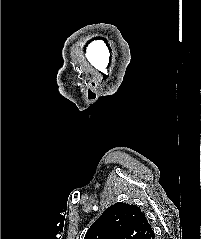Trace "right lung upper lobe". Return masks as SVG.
<instances>
[{"label": "right lung upper lobe", "instance_id": "right-lung-upper-lobe-1", "mask_svg": "<svg viewBox=\"0 0 201 239\" xmlns=\"http://www.w3.org/2000/svg\"><path fill=\"white\" fill-rule=\"evenodd\" d=\"M145 215L136 205L118 202L91 225L84 239H154Z\"/></svg>", "mask_w": 201, "mask_h": 239}]
</instances>
